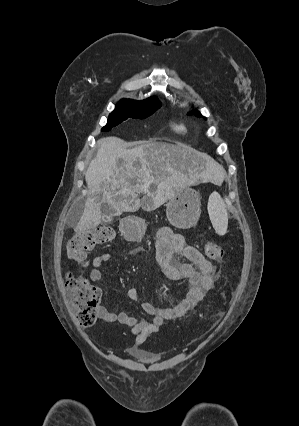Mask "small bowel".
<instances>
[{"label":"small bowel","mask_w":299,"mask_h":426,"mask_svg":"<svg viewBox=\"0 0 299 426\" xmlns=\"http://www.w3.org/2000/svg\"><path fill=\"white\" fill-rule=\"evenodd\" d=\"M178 256L184 257L188 262L179 261ZM110 259L109 253H103L93 259V269L90 272L93 282L100 280V267ZM156 260L170 281L187 282L188 290L182 300L171 306H156L142 301L138 290L130 288L126 294L127 298L138 302L143 311L152 316L151 321L137 319L127 312L116 313L104 306L97 309L98 317L104 322L119 323L130 328V333L135 336V343L129 352L142 361H152L155 358L154 354L141 349L147 337L158 332L165 320L180 318L197 307L218 278V272L212 263L196 247L188 245L182 235L174 233L168 227L161 228L157 234Z\"/></svg>","instance_id":"small-bowel-1"}]
</instances>
